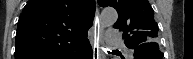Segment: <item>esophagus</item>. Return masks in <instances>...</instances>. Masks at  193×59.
I'll return each mask as SVG.
<instances>
[{"instance_id": "esophagus-1", "label": "esophagus", "mask_w": 193, "mask_h": 59, "mask_svg": "<svg viewBox=\"0 0 193 59\" xmlns=\"http://www.w3.org/2000/svg\"><path fill=\"white\" fill-rule=\"evenodd\" d=\"M103 28L99 19V9L96 8L95 18H94V31L91 36V43L93 46V59L100 58V38Z\"/></svg>"}]
</instances>
